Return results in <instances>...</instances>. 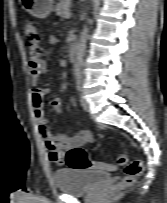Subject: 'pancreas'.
<instances>
[{
    "label": "pancreas",
    "instance_id": "obj_1",
    "mask_svg": "<svg viewBox=\"0 0 167 203\" xmlns=\"http://www.w3.org/2000/svg\"><path fill=\"white\" fill-rule=\"evenodd\" d=\"M70 7L71 0H60V2L56 4L54 11L57 15L65 17V14L69 12Z\"/></svg>",
    "mask_w": 167,
    "mask_h": 203
}]
</instances>
